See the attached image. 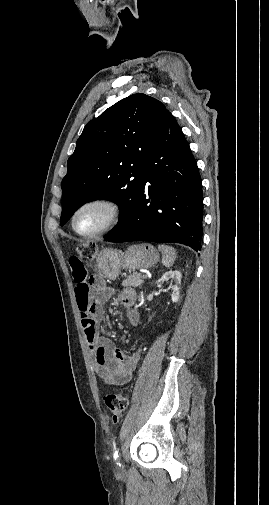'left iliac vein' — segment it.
<instances>
[{"mask_svg":"<svg viewBox=\"0 0 269 505\" xmlns=\"http://www.w3.org/2000/svg\"><path fill=\"white\" fill-rule=\"evenodd\" d=\"M119 464H120V463H119ZM118 469L122 471V470H123V465H121V464H120V465L118 466Z\"/></svg>","mask_w":269,"mask_h":505,"instance_id":"4c4485c4","label":"left iliac vein"}]
</instances>
